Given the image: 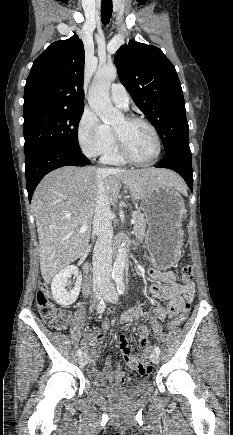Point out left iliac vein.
Wrapping results in <instances>:
<instances>
[{
	"instance_id": "obj_1",
	"label": "left iliac vein",
	"mask_w": 233,
	"mask_h": 435,
	"mask_svg": "<svg viewBox=\"0 0 233 435\" xmlns=\"http://www.w3.org/2000/svg\"><path fill=\"white\" fill-rule=\"evenodd\" d=\"M105 299L111 303L116 302L118 299L117 291L112 284H110L107 288V293L105 294ZM150 360L155 364L159 363V361H160L159 354L156 352L151 353Z\"/></svg>"
}]
</instances>
